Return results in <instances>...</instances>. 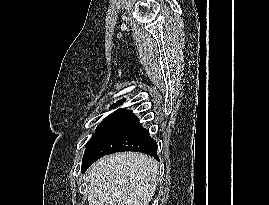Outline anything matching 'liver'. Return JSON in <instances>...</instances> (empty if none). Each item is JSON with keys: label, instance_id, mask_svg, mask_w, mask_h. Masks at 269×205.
<instances>
[{"label": "liver", "instance_id": "1", "mask_svg": "<svg viewBox=\"0 0 269 205\" xmlns=\"http://www.w3.org/2000/svg\"><path fill=\"white\" fill-rule=\"evenodd\" d=\"M158 164L142 153L105 156L86 172L89 205H149L157 186Z\"/></svg>", "mask_w": 269, "mask_h": 205}]
</instances>
